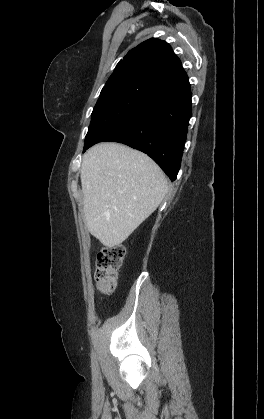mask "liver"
<instances>
[{
	"mask_svg": "<svg viewBox=\"0 0 264 419\" xmlns=\"http://www.w3.org/2000/svg\"><path fill=\"white\" fill-rule=\"evenodd\" d=\"M80 177L86 226L108 248L125 241L168 191L164 173L151 158L113 142L85 153Z\"/></svg>",
	"mask_w": 264,
	"mask_h": 419,
	"instance_id": "6515ba94",
	"label": "liver"
}]
</instances>
